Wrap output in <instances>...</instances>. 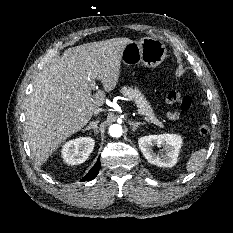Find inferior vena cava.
<instances>
[{
  "label": "inferior vena cava",
  "instance_id": "obj_1",
  "mask_svg": "<svg viewBox=\"0 0 233 233\" xmlns=\"http://www.w3.org/2000/svg\"><path fill=\"white\" fill-rule=\"evenodd\" d=\"M101 111H103V109L102 108H96L95 110H94V115H97L99 112H101Z\"/></svg>",
  "mask_w": 233,
  "mask_h": 233
}]
</instances>
